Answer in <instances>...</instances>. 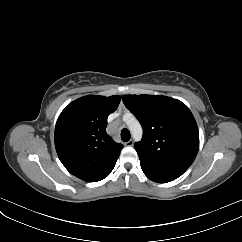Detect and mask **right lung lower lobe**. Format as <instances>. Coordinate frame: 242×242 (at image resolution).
Listing matches in <instances>:
<instances>
[{
	"mask_svg": "<svg viewBox=\"0 0 242 242\" xmlns=\"http://www.w3.org/2000/svg\"><path fill=\"white\" fill-rule=\"evenodd\" d=\"M113 168H114V167H113ZM113 168H111V169H110V170H109V171H108V172H107V173H106V174H105L100 180H102V179H104L105 177H107V176L110 174V172L112 171ZM100 180H99V181H100Z\"/></svg>",
	"mask_w": 242,
	"mask_h": 242,
	"instance_id": "1",
	"label": "right lung lower lobe"
}]
</instances>
